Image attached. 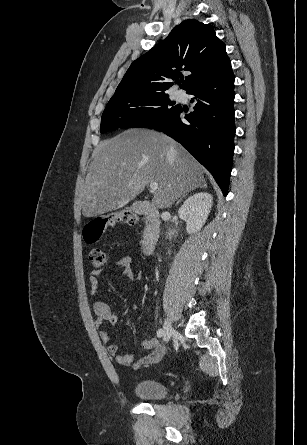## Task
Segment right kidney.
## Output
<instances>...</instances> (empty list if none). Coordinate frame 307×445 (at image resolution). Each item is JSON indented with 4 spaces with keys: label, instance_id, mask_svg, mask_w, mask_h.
I'll list each match as a JSON object with an SVG mask.
<instances>
[{
    "label": "right kidney",
    "instance_id": "ca27d5eb",
    "mask_svg": "<svg viewBox=\"0 0 307 445\" xmlns=\"http://www.w3.org/2000/svg\"><path fill=\"white\" fill-rule=\"evenodd\" d=\"M212 202L213 196L209 192H196L180 206L178 214L182 220H186L188 235L201 231L208 218Z\"/></svg>",
    "mask_w": 307,
    "mask_h": 445
}]
</instances>
